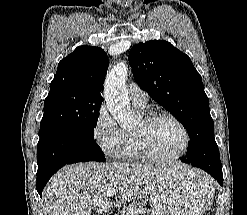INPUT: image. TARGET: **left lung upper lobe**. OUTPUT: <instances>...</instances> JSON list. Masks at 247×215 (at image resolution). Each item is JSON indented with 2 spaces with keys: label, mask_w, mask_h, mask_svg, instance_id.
I'll return each instance as SVG.
<instances>
[{
  "label": "left lung upper lobe",
  "mask_w": 247,
  "mask_h": 215,
  "mask_svg": "<svg viewBox=\"0 0 247 215\" xmlns=\"http://www.w3.org/2000/svg\"><path fill=\"white\" fill-rule=\"evenodd\" d=\"M129 63L136 82L186 128L193 145L214 138L213 119L201 75L190 58L166 41L134 45Z\"/></svg>",
  "instance_id": "5c2ea615"
}]
</instances>
